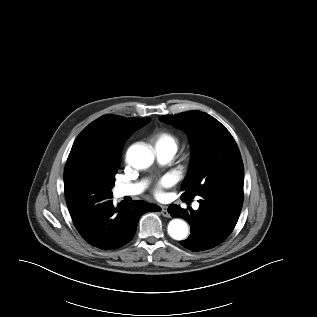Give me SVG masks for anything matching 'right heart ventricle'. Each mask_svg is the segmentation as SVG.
I'll list each match as a JSON object with an SVG mask.
<instances>
[{"label": "right heart ventricle", "instance_id": "obj_1", "mask_svg": "<svg viewBox=\"0 0 317 317\" xmlns=\"http://www.w3.org/2000/svg\"><path fill=\"white\" fill-rule=\"evenodd\" d=\"M178 142V138L169 131H160L153 136V143L159 149H168L176 152Z\"/></svg>", "mask_w": 317, "mask_h": 317}]
</instances>
